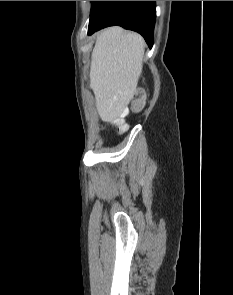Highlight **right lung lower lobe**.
I'll return each mask as SVG.
<instances>
[{
	"mask_svg": "<svg viewBox=\"0 0 233 295\" xmlns=\"http://www.w3.org/2000/svg\"><path fill=\"white\" fill-rule=\"evenodd\" d=\"M155 1H92L88 34L120 25L140 33L148 46L153 45Z\"/></svg>",
	"mask_w": 233,
	"mask_h": 295,
	"instance_id": "right-lung-lower-lobe-1",
	"label": "right lung lower lobe"
}]
</instances>
